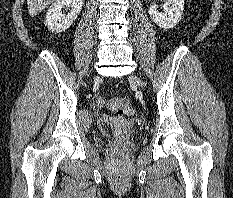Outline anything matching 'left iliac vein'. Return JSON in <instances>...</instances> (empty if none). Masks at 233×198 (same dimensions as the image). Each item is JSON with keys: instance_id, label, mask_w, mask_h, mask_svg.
Wrapping results in <instances>:
<instances>
[{"instance_id": "obj_1", "label": "left iliac vein", "mask_w": 233, "mask_h": 198, "mask_svg": "<svg viewBox=\"0 0 233 198\" xmlns=\"http://www.w3.org/2000/svg\"><path fill=\"white\" fill-rule=\"evenodd\" d=\"M130 81L133 82L134 84L138 85V86H142L141 80L136 76H131Z\"/></svg>"}]
</instances>
